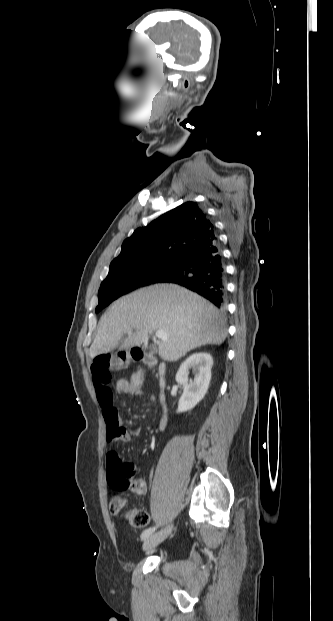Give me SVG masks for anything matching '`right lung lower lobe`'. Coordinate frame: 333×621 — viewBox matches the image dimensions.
Wrapping results in <instances>:
<instances>
[{
    "mask_svg": "<svg viewBox=\"0 0 333 621\" xmlns=\"http://www.w3.org/2000/svg\"><path fill=\"white\" fill-rule=\"evenodd\" d=\"M161 282L184 286L223 309L226 301V274L217 239L199 251L186 255L178 271Z\"/></svg>",
    "mask_w": 333,
    "mask_h": 621,
    "instance_id": "98d812e1",
    "label": "right lung lower lobe"
}]
</instances>
